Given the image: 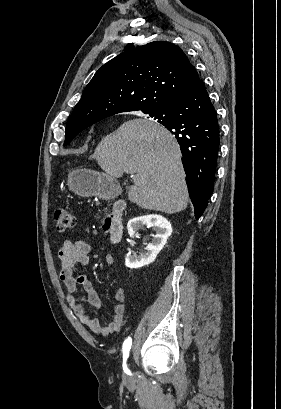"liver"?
Wrapping results in <instances>:
<instances>
[{
    "label": "liver",
    "mask_w": 281,
    "mask_h": 409,
    "mask_svg": "<svg viewBox=\"0 0 281 409\" xmlns=\"http://www.w3.org/2000/svg\"><path fill=\"white\" fill-rule=\"evenodd\" d=\"M90 158L108 176L134 174L128 198L142 209L180 213L188 205L181 152L173 134L155 120L133 118L99 142Z\"/></svg>",
    "instance_id": "6515ba94"
}]
</instances>
